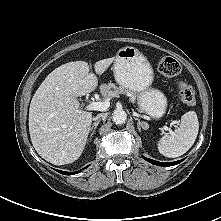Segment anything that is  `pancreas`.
Instances as JSON below:
<instances>
[{"mask_svg":"<svg viewBox=\"0 0 221 221\" xmlns=\"http://www.w3.org/2000/svg\"><path fill=\"white\" fill-rule=\"evenodd\" d=\"M100 92L102 96L107 99H112L114 97H118L119 95H126L129 97L131 102H135L137 97L134 92L121 86L118 87L113 83L101 85Z\"/></svg>","mask_w":221,"mask_h":221,"instance_id":"pancreas-1","label":"pancreas"}]
</instances>
